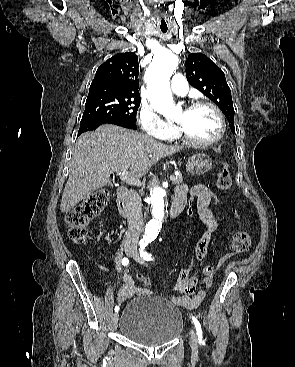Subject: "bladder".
<instances>
[{"label":"bladder","instance_id":"bladder-1","mask_svg":"<svg viewBox=\"0 0 295 367\" xmlns=\"http://www.w3.org/2000/svg\"><path fill=\"white\" fill-rule=\"evenodd\" d=\"M121 333L143 346H157L177 338L183 329L181 311L169 300L147 295L129 301L119 321Z\"/></svg>","mask_w":295,"mask_h":367}]
</instances>
